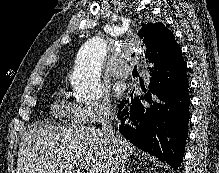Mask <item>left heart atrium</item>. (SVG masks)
<instances>
[{"instance_id":"39dd6f15","label":"left heart atrium","mask_w":219,"mask_h":173,"mask_svg":"<svg viewBox=\"0 0 219 173\" xmlns=\"http://www.w3.org/2000/svg\"><path fill=\"white\" fill-rule=\"evenodd\" d=\"M116 96H120L121 95V90L119 88L116 89L115 91Z\"/></svg>"}]
</instances>
